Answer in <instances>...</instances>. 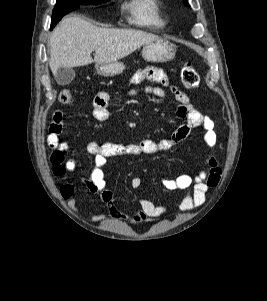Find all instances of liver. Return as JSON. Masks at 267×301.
<instances>
[{"label": "liver", "instance_id": "1", "mask_svg": "<svg viewBox=\"0 0 267 301\" xmlns=\"http://www.w3.org/2000/svg\"><path fill=\"white\" fill-rule=\"evenodd\" d=\"M157 39L140 30L99 28L80 16L66 17L51 34L50 69L55 75L61 67L116 62Z\"/></svg>", "mask_w": 267, "mask_h": 301}]
</instances>
